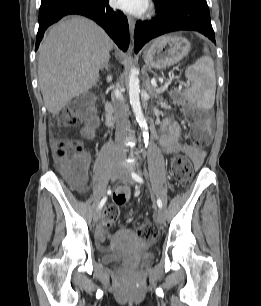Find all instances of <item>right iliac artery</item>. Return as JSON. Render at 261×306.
<instances>
[{"label":"right iliac artery","mask_w":261,"mask_h":306,"mask_svg":"<svg viewBox=\"0 0 261 306\" xmlns=\"http://www.w3.org/2000/svg\"><path fill=\"white\" fill-rule=\"evenodd\" d=\"M109 192H110V191H108V193H109ZM106 200H107V197H104V198L100 201L99 206H98L99 209H101V208L103 207V205L105 204Z\"/></svg>","instance_id":"82829eb1"}]
</instances>
